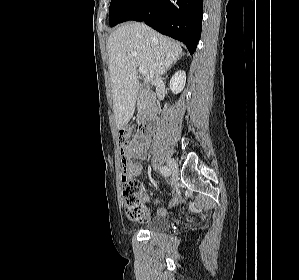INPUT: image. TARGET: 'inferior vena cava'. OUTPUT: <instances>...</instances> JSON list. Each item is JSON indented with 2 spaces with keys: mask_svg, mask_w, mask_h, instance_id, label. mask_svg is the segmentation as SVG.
I'll use <instances>...</instances> for the list:
<instances>
[{
  "mask_svg": "<svg viewBox=\"0 0 299 280\" xmlns=\"http://www.w3.org/2000/svg\"><path fill=\"white\" fill-rule=\"evenodd\" d=\"M159 82H161V77H160V76H156V77L152 80L151 84L154 85V84H157V83H159Z\"/></svg>",
  "mask_w": 299,
  "mask_h": 280,
  "instance_id": "inferior-vena-cava-1",
  "label": "inferior vena cava"
}]
</instances>
